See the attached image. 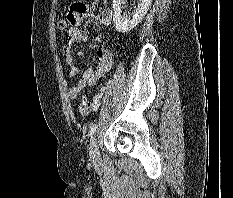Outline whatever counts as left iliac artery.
I'll use <instances>...</instances> for the list:
<instances>
[{
    "label": "left iliac artery",
    "instance_id": "44dca946",
    "mask_svg": "<svg viewBox=\"0 0 233 198\" xmlns=\"http://www.w3.org/2000/svg\"><path fill=\"white\" fill-rule=\"evenodd\" d=\"M103 90H104V88L101 89V91H103ZM96 130H97V124H92L90 126L89 135L91 137H93V135L95 134Z\"/></svg>",
    "mask_w": 233,
    "mask_h": 198
}]
</instances>
